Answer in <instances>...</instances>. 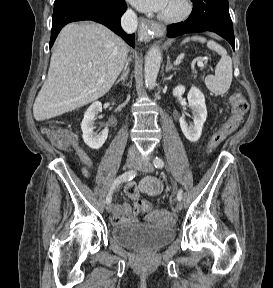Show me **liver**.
I'll return each mask as SVG.
<instances>
[{"instance_id": "6515ba94", "label": "liver", "mask_w": 273, "mask_h": 288, "mask_svg": "<svg viewBox=\"0 0 273 288\" xmlns=\"http://www.w3.org/2000/svg\"><path fill=\"white\" fill-rule=\"evenodd\" d=\"M127 45L107 27L71 23L60 32L33 114L48 120L104 96L126 61Z\"/></svg>"}]
</instances>
